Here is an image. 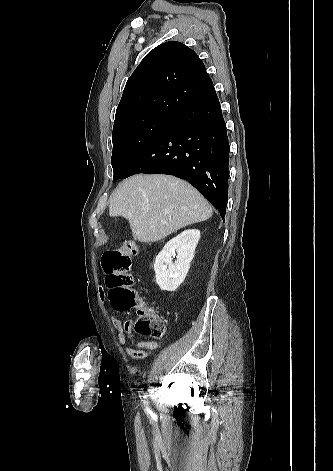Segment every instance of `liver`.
I'll return each instance as SVG.
<instances>
[{
  "label": "liver",
  "instance_id": "obj_1",
  "mask_svg": "<svg viewBox=\"0 0 333 471\" xmlns=\"http://www.w3.org/2000/svg\"><path fill=\"white\" fill-rule=\"evenodd\" d=\"M212 213L194 187L170 175H134L120 183L110 197L109 215L127 219L133 238L146 243L205 221Z\"/></svg>",
  "mask_w": 333,
  "mask_h": 471
}]
</instances>
